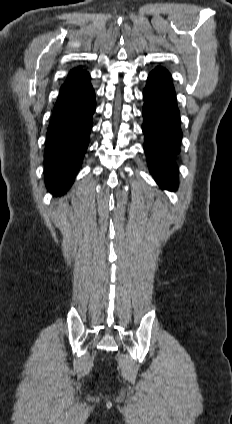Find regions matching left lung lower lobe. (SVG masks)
<instances>
[{
	"mask_svg": "<svg viewBox=\"0 0 232 424\" xmlns=\"http://www.w3.org/2000/svg\"><path fill=\"white\" fill-rule=\"evenodd\" d=\"M142 126L144 150L151 174L161 188L175 191L178 170L175 155L180 151V114L170 73L157 67L148 77L143 92Z\"/></svg>",
	"mask_w": 232,
	"mask_h": 424,
	"instance_id": "0a47b994",
	"label": "left lung lower lobe"
}]
</instances>
